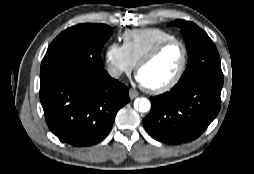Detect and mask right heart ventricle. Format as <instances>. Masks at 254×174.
Returning a JSON list of instances; mask_svg holds the SVG:
<instances>
[{
    "mask_svg": "<svg viewBox=\"0 0 254 174\" xmlns=\"http://www.w3.org/2000/svg\"><path fill=\"white\" fill-rule=\"evenodd\" d=\"M174 38L173 33L155 27L127 30L122 34L123 47L134 64L157 44Z\"/></svg>",
    "mask_w": 254,
    "mask_h": 174,
    "instance_id": "1",
    "label": "right heart ventricle"
}]
</instances>
